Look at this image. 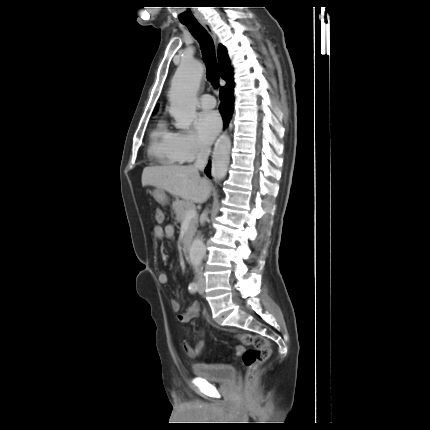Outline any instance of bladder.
Listing matches in <instances>:
<instances>
[{"mask_svg":"<svg viewBox=\"0 0 430 430\" xmlns=\"http://www.w3.org/2000/svg\"><path fill=\"white\" fill-rule=\"evenodd\" d=\"M192 371L196 377L217 383H229L236 375L234 366L222 363H197L192 366Z\"/></svg>","mask_w":430,"mask_h":430,"instance_id":"1","label":"bladder"}]
</instances>
